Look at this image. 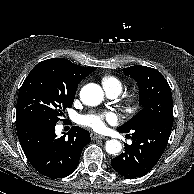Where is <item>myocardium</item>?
I'll use <instances>...</instances> for the list:
<instances>
[{"label": "myocardium", "instance_id": "obj_1", "mask_svg": "<svg viewBox=\"0 0 194 194\" xmlns=\"http://www.w3.org/2000/svg\"><path fill=\"white\" fill-rule=\"evenodd\" d=\"M124 107L129 111H134L139 105V96L137 93L131 92L123 97Z\"/></svg>", "mask_w": 194, "mask_h": 194}]
</instances>
